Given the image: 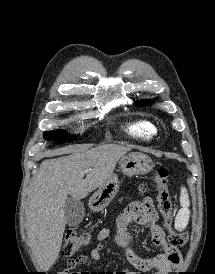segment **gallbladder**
Returning <instances> with one entry per match:
<instances>
[{
  "label": "gallbladder",
  "mask_w": 215,
  "mask_h": 274,
  "mask_svg": "<svg viewBox=\"0 0 215 274\" xmlns=\"http://www.w3.org/2000/svg\"><path fill=\"white\" fill-rule=\"evenodd\" d=\"M64 214L68 226H77L85 215L84 203L76 198L69 197L66 201Z\"/></svg>",
  "instance_id": "obj_1"
}]
</instances>
